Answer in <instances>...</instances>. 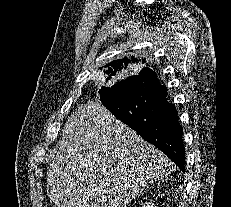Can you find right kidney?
Here are the masks:
<instances>
[{
  "instance_id": "ca27d5eb",
  "label": "right kidney",
  "mask_w": 231,
  "mask_h": 207,
  "mask_svg": "<svg viewBox=\"0 0 231 207\" xmlns=\"http://www.w3.org/2000/svg\"><path fill=\"white\" fill-rule=\"evenodd\" d=\"M142 207H153L152 203H145L142 205Z\"/></svg>"
}]
</instances>
